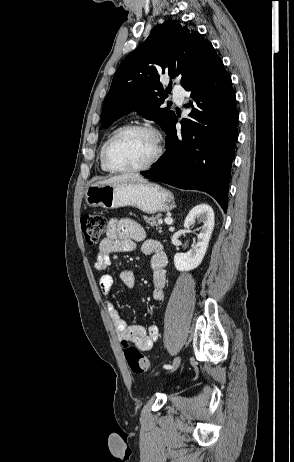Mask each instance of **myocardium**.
I'll return each instance as SVG.
<instances>
[{"label": "myocardium", "mask_w": 294, "mask_h": 462, "mask_svg": "<svg viewBox=\"0 0 294 462\" xmlns=\"http://www.w3.org/2000/svg\"><path fill=\"white\" fill-rule=\"evenodd\" d=\"M132 130L145 131L151 134L155 140V152L153 153L151 158L141 166L133 167V168H117L113 166L110 162V159H109L110 149L112 145L115 143V141L120 136ZM162 153H163V145H162L161 137L159 133L153 127L147 124H142V123H130V124H126L118 128L107 140V142L104 145L103 151H102V162H103L104 167L108 171L113 172V173H138V172H143L151 168L159 160Z\"/></svg>", "instance_id": "1"}]
</instances>
